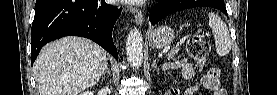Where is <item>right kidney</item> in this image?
Here are the masks:
<instances>
[{
    "instance_id": "obj_1",
    "label": "right kidney",
    "mask_w": 277,
    "mask_h": 95,
    "mask_svg": "<svg viewBox=\"0 0 277 95\" xmlns=\"http://www.w3.org/2000/svg\"><path fill=\"white\" fill-rule=\"evenodd\" d=\"M81 95H94L92 91H86L84 93H81Z\"/></svg>"
}]
</instances>
